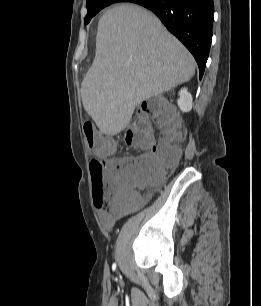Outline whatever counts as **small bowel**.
Here are the masks:
<instances>
[{
	"instance_id": "small-bowel-1",
	"label": "small bowel",
	"mask_w": 261,
	"mask_h": 306,
	"mask_svg": "<svg viewBox=\"0 0 261 306\" xmlns=\"http://www.w3.org/2000/svg\"><path fill=\"white\" fill-rule=\"evenodd\" d=\"M114 160H119V159H115V158L106 159L105 163L110 165L113 163ZM150 195H151V191H148L143 197L140 198V202L142 203L148 200ZM98 218L105 228H111L116 222V220L119 218V216L113 212L101 210L98 212Z\"/></svg>"
}]
</instances>
